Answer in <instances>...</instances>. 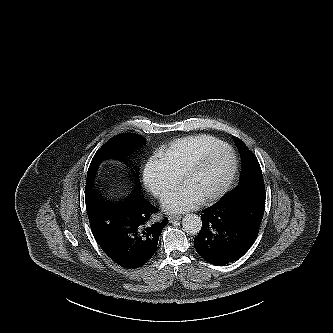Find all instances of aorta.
I'll return each mask as SVG.
<instances>
[{"instance_id":"aorta-1","label":"aorta","mask_w":333,"mask_h":333,"mask_svg":"<svg viewBox=\"0 0 333 333\" xmlns=\"http://www.w3.org/2000/svg\"><path fill=\"white\" fill-rule=\"evenodd\" d=\"M182 226L187 234L197 235L202 227L201 218L196 214H187L182 220Z\"/></svg>"}]
</instances>
